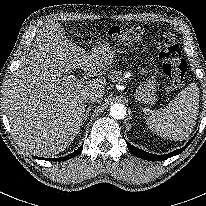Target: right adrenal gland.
I'll return each instance as SVG.
<instances>
[{"label": "right adrenal gland", "mask_w": 206, "mask_h": 206, "mask_svg": "<svg viewBox=\"0 0 206 206\" xmlns=\"http://www.w3.org/2000/svg\"><path fill=\"white\" fill-rule=\"evenodd\" d=\"M91 109H92V102H89L88 107H87L86 112H85V115H84L85 120L89 117Z\"/></svg>", "instance_id": "obj_1"}]
</instances>
